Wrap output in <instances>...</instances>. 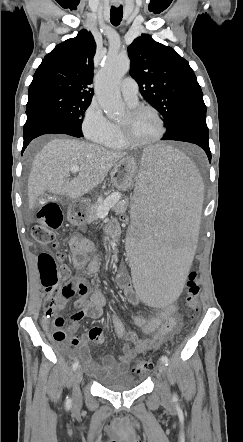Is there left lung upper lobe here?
Here are the masks:
<instances>
[{"label": "left lung upper lobe", "instance_id": "5c2ea615", "mask_svg": "<svg viewBox=\"0 0 243 442\" xmlns=\"http://www.w3.org/2000/svg\"><path fill=\"white\" fill-rule=\"evenodd\" d=\"M130 74L143 97L169 131L186 112L205 108L203 93L189 63L174 49L143 34L128 47Z\"/></svg>", "mask_w": 243, "mask_h": 442}]
</instances>
